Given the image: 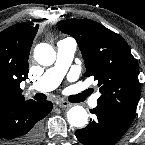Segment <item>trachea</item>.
Here are the masks:
<instances>
[{
    "label": "trachea",
    "instance_id": "obj_1",
    "mask_svg": "<svg viewBox=\"0 0 145 145\" xmlns=\"http://www.w3.org/2000/svg\"><path fill=\"white\" fill-rule=\"evenodd\" d=\"M90 93L89 92H84L83 94H82V96H84V97H86L87 95H89ZM35 99L36 100H45L46 99V95L45 94H42V93H37L36 95H35Z\"/></svg>",
    "mask_w": 145,
    "mask_h": 145
}]
</instances>
